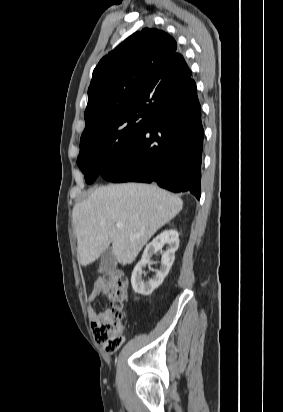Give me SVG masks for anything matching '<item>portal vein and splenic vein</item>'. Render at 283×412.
I'll use <instances>...</instances> for the list:
<instances>
[{"instance_id":"portal-vein-and-splenic-vein-1","label":"portal vein and splenic vein","mask_w":283,"mask_h":412,"mask_svg":"<svg viewBox=\"0 0 283 412\" xmlns=\"http://www.w3.org/2000/svg\"><path fill=\"white\" fill-rule=\"evenodd\" d=\"M116 226H117V228H121L123 225H122V223L117 222V223H116Z\"/></svg>"}]
</instances>
